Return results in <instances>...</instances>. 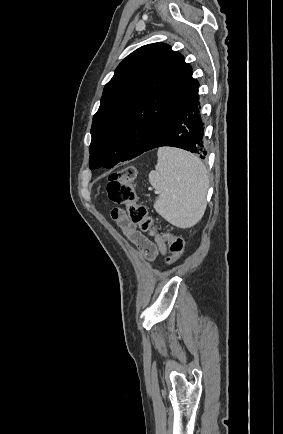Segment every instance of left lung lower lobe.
Wrapping results in <instances>:
<instances>
[{
	"label": "left lung lower lobe",
	"mask_w": 283,
	"mask_h": 434,
	"mask_svg": "<svg viewBox=\"0 0 283 434\" xmlns=\"http://www.w3.org/2000/svg\"><path fill=\"white\" fill-rule=\"evenodd\" d=\"M198 88L188 94L167 116L144 152L162 146L182 148L206 155Z\"/></svg>",
	"instance_id": "left-lung-lower-lobe-1"
}]
</instances>
